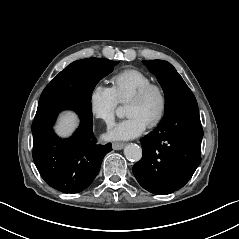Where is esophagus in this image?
<instances>
[{"label":"esophagus","instance_id":"obj_1","mask_svg":"<svg viewBox=\"0 0 239 239\" xmlns=\"http://www.w3.org/2000/svg\"><path fill=\"white\" fill-rule=\"evenodd\" d=\"M124 146H125V144L121 143V142H113L112 143V148L114 150H121V149H123Z\"/></svg>","mask_w":239,"mask_h":239}]
</instances>
